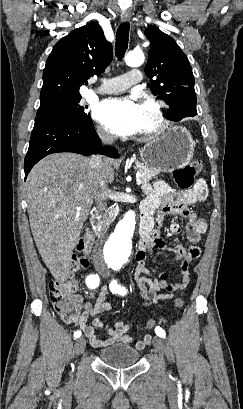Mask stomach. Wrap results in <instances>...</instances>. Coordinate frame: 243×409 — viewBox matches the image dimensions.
Returning a JSON list of instances; mask_svg holds the SVG:
<instances>
[{"mask_svg": "<svg viewBox=\"0 0 243 409\" xmlns=\"http://www.w3.org/2000/svg\"><path fill=\"white\" fill-rule=\"evenodd\" d=\"M195 142L182 126H173L145 144L140 154L143 163L158 172L184 167L193 158Z\"/></svg>", "mask_w": 243, "mask_h": 409, "instance_id": "obj_1", "label": "stomach"}]
</instances>
